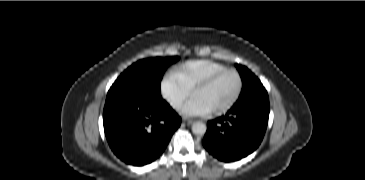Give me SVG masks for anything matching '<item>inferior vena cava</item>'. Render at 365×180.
Wrapping results in <instances>:
<instances>
[{
  "mask_svg": "<svg viewBox=\"0 0 365 180\" xmlns=\"http://www.w3.org/2000/svg\"><path fill=\"white\" fill-rule=\"evenodd\" d=\"M177 104H178V101H175V102L173 103V106L175 107Z\"/></svg>",
  "mask_w": 365,
  "mask_h": 180,
  "instance_id": "1",
  "label": "inferior vena cava"
}]
</instances>
